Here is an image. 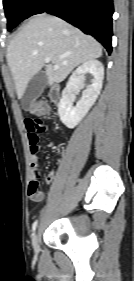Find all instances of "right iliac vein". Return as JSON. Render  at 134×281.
Returning <instances> with one entry per match:
<instances>
[{
    "label": "right iliac vein",
    "instance_id": "right-iliac-vein-1",
    "mask_svg": "<svg viewBox=\"0 0 134 281\" xmlns=\"http://www.w3.org/2000/svg\"><path fill=\"white\" fill-rule=\"evenodd\" d=\"M39 242H40V235L39 233H35L33 235L32 244L36 254L38 253Z\"/></svg>",
    "mask_w": 134,
    "mask_h": 281
}]
</instances>
